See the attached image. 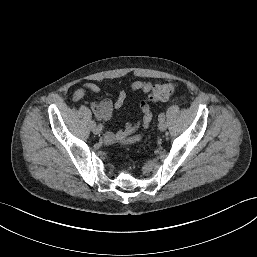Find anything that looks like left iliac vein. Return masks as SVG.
Instances as JSON below:
<instances>
[{"instance_id":"4c4485c4","label":"left iliac vein","mask_w":257,"mask_h":257,"mask_svg":"<svg viewBox=\"0 0 257 257\" xmlns=\"http://www.w3.org/2000/svg\"><path fill=\"white\" fill-rule=\"evenodd\" d=\"M158 128L160 131H165L166 128H167V125L164 121H160L159 124H158Z\"/></svg>"}]
</instances>
